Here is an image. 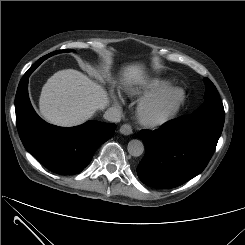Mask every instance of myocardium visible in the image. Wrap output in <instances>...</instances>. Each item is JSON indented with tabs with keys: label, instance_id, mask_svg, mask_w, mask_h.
<instances>
[{
	"label": "myocardium",
	"instance_id": "1",
	"mask_svg": "<svg viewBox=\"0 0 245 245\" xmlns=\"http://www.w3.org/2000/svg\"><path fill=\"white\" fill-rule=\"evenodd\" d=\"M184 100L185 92L179 87L144 98L137 107L138 120L146 127L161 126L177 114Z\"/></svg>",
	"mask_w": 245,
	"mask_h": 245
}]
</instances>
